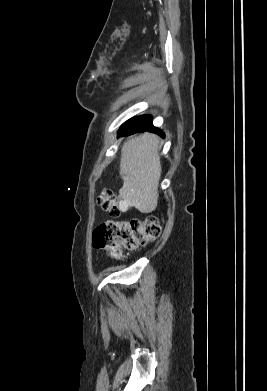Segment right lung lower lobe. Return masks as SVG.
Returning <instances> with one entry per match:
<instances>
[{
  "instance_id": "1",
  "label": "right lung lower lobe",
  "mask_w": 267,
  "mask_h": 391,
  "mask_svg": "<svg viewBox=\"0 0 267 391\" xmlns=\"http://www.w3.org/2000/svg\"><path fill=\"white\" fill-rule=\"evenodd\" d=\"M149 131L164 137V133L152 125V117L149 115H143L132 118L124 123L118 134L120 136H128L137 132Z\"/></svg>"
}]
</instances>
